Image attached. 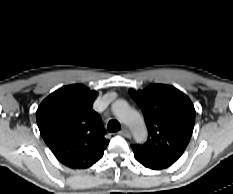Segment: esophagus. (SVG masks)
I'll list each match as a JSON object with an SVG mask.
<instances>
[{
    "label": "esophagus",
    "instance_id": "obj_1",
    "mask_svg": "<svg viewBox=\"0 0 233 194\" xmlns=\"http://www.w3.org/2000/svg\"><path fill=\"white\" fill-rule=\"evenodd\" d=\"M119 133H120L121 135H123L124 137H126V138H131V137H132L130 131L127 130V129H122Z\"/></svg>",
    "mask_w": 233,
    "mask_h": 194
}]
</instances>
